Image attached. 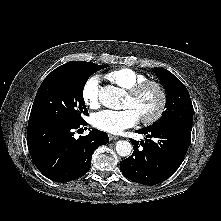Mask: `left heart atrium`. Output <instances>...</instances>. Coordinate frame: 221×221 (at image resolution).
Returning <instances> with one entry per match:
<instances>
[{
    "instance_id": "left-heart-atrium-1",
    "label": "left heart atrium",
    "mask_w": 221,
    "mask_h": 221,
    "mask_svg": "<svg viewBox=\"0 0 221 221\" xmlns=\"http://www.w3.org/2000/svg\"><path fill=\"white\" fill-rule=\"evenodd\" d=\"M139 115L133 108L124 110H103L92 116V124L99 130L119 134L139 122Z\"/></svg>"
}]
</instances>
